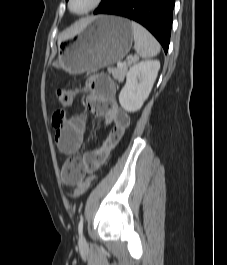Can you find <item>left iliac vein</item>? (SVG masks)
Segmentation results:
<instances>
[{"mask_svg": "<svg viewBox=\"0 0 227 265\" xmlns=\"http://www.w3.org/2000/svg\"><path fill=\"white\" fill-rule=\"evenodd\" d=\"M79 243L80 244H84L85 243V238L82 235L80 236Z\"/></svg>", "mask_w": 227, "mask_h": 265, "instance_id": "left-iliac-vein-1", "label": "left iliac vein"}]
</instances>
